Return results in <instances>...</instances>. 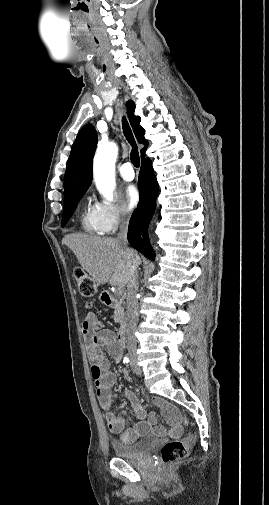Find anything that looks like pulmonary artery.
I'll list each match as a JSON object with an SVG mask.
<instances>
[{
	"label": "pulmonary artery",
	"mask_w": 269,
	"mask_h": 505,
	"mask_svg": "<svg viewBox=\"0 0 269 505\" xmlns=\"http://www.w3.org/2000/svg\"><path fill=\"white\" fill-rule=\"evenodd\" d=\"M119 173L121 177L126 180V181H131L135 177V173L132 167V164L130 162H126L121 165L119 169Z\"/></svg>",
	"instance_id": "e3ab8cb5"
}]
</instances>
